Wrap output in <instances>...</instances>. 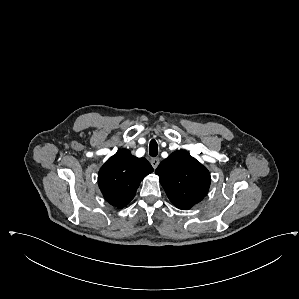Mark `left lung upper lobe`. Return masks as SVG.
Here are the masks:
<instances>
[{
    "label": "left lung upper lobe",
    "mask_w": 299,
    "mask_h": 299,
    "mask_svg": "<svg viewBox=\"0 0 299 299\" xmlns=\"http://www.w3.org/2000/svg\"><path fill=\"white\" fill-rule=\"evenodd\" d=\"M155 173L170 201L182 210L190 209L201 201L209 190V171L184 151L170 154Z\"/></svg>",
    "instance_id": "5c2ea615"
}]
</instances>
